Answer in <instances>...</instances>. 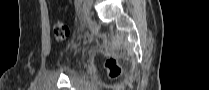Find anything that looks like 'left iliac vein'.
Listing matches in <instances>:
<instances>
[{
  "label": "left iliac vein",
  "mask_w": 209,
  "mask_h": 90,
  "mask_svg": "<svg viewBox=\"0 0 209 90\" xmlns=\"http://www.w3.org/2000/svg\"><path fill=\"white\" fill-rule=\"evenodd\" d=\"M91 7H92V1L91 0H85L82 5V17L84 20H88L91 16ZM82 28L84 27L83 25L81 26ZM83 31L85 30L84 28L82 29Z\"/></svg>",
  "instance_id": "obj_1"
}]
</instances>
